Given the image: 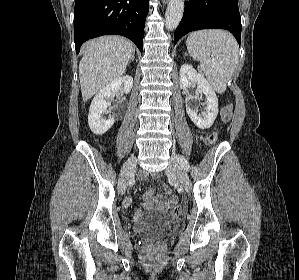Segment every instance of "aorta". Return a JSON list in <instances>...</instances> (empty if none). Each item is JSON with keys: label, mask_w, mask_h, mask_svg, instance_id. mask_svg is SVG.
Returning <instances> with one entry per match:
<instances>
[{"label": "aorta", "mask_w": 299, "mask_h": 280, "mask_svg": "<svg viewBox=\"0 0 299 280\" xmlns=\"http://www.w3.org/2000/svg\"><path fill=\"white\" fill-rule=\"evenodd\" d=\"M183 11V0H170L165 14V25L168 30L172 31L177 28L183 16Z\"/></svg>", "instance_id": "1"}]
</instances>
